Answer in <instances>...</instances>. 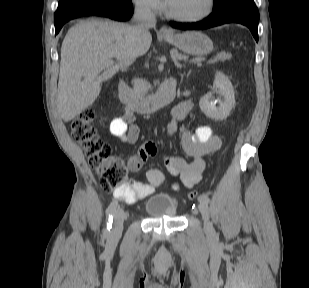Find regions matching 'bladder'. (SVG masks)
I'll list each match as a JSON object with an SVG mask.
<instances>
[{"label": "bladder", "mask_w": 309, "mask_h": 288, "mask_svg": "<svg viewBox=\"0 0 309 288\" xmlns=\"http://www.w3.org/2000/svg\"><path fill=\"white\" fill-rule=\"evenodd\" d=\"M144 211L150 219L173 218L176 216L178 202L168 193L155 192L146 197Z\"/></svg>", "instance_id": "1"}]
</instances>
